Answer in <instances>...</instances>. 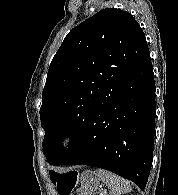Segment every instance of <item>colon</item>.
<instances>
[{"mask_svg": "<svg viewBox=\"0 0 178 195\" xmlns=\"http://www.w3.org/2000/svg\"><path fill=\"white\" fill-rule=\"evenodd\" d=\"M77 181V173L75 171H70L65 174L58 184V190L61 195H72V190Z\"/></svg>", "mask_w": 178, "mask_h": 195, "instance_id": "5ec220e1", "label": "colon"}]
</instances>
